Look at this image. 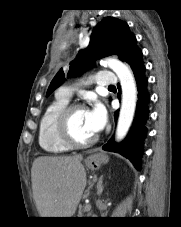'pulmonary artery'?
<instances>
[{"label":"pulmonary artery","instance_id":"pulmonary-artery-1","mask_svg":"<svg viewBox=\"0 0 181 227\" xmlns=\"http://www.w3.org/2000/svg\"><path fill=\"white\" fill-rule=\"evenodd\" d=\"M117 80V76L114 73L103 71H99L95 78L96 84L100 87L113 85L117 83ZM58 95L69 99L72 96V90L68 87H63L59 89Z\"/></svg>","mask_w":181,"mask_h":227}]
</instances>
